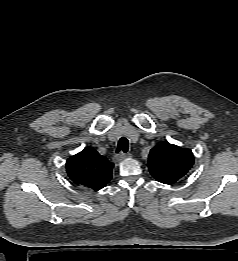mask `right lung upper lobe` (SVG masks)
Listing matches in <instances>:
<instances>
[{"label": "right lung upper lobe", "mask_w": 238, "mask_h": 261, "mask_svg": "<svg viewBox=\"0 0 238 261\" xmlns=\"http://www.w3.org/2000/svg\"><path fill=\"white\" fill-rule=\"evenodd\" d=\"M113 163L92 148H85L66 162L67 174L77 185L95 191L102 189L112 177Z\"/></svg>", "instance_id": "1"}]
</instances>
